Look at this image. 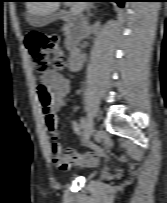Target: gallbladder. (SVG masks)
Here are the masks:
<instances>
[{"instance_id": "gallbladder-1", "label": "gallbladder", "mask_w": 167, "mask_h": 203, "mask_svg": "<svg viewBox=\"0 0 167 203\" xmlns=\"http://www.w3.org/2000/svg\"><path fill=\"white\" fill-rule=\"evenodd\" d=\"M63 13L61 11H57L51 14H45V15H37L28 13L27 14V21L30 25L34 27H42L44 25H47L51 23L52 21L61 18Z\"/></svg>"}]
</instances>
